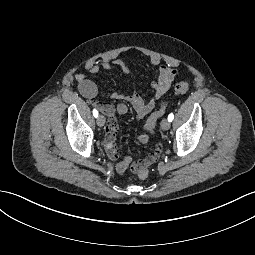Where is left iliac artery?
Listing matches in <instances>:
<instances>
[{"label": "left iliac artery", "instance_id": "1", "mask_svg": "<svg viewBox=\"0 0 255 255\" xmlns=\"http://www.w3.org/2000/svg\"><path fill=\"white\" fill-rule=\"evenodd\" d=\"M173 118H174L173 113L169 114V116H168V120H169L170 122L173 120Z\"/></svg>", "mask_w": 255, "mask_h": 255}]
</instances>
